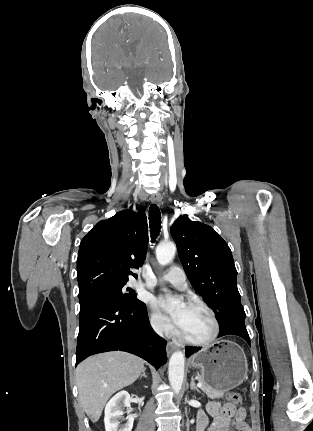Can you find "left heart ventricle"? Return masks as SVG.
<instances>
[{
    "instance_id": "left-heart-ventricle-1",
    "label": "left heart ventricle",
    "mask_w": 313,
    "mask_h": 431,
    "mask_svg": "<svg viewBox=\"0 0 313 431\" xmlns=\"http://www.w3.org/2000/svg\"><path fill=\"white\" fill-rule=\"evenodd\" d=\"M174 315L180 320V332L187 338L205 341L212 336L214 325L206 311L184 305L179 307Z\"/></svg>"
}]
</instances>
